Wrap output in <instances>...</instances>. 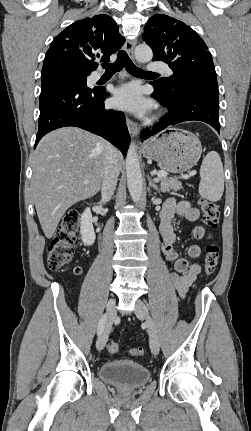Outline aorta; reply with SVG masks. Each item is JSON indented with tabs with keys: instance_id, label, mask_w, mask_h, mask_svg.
<instances>
[{
	"instance_id": "762f6f07",
	"label": "aorta",
	"mask_w": 251,
	"mask_h": 431,
	"mask_svg": "<svg viewBox=\"0 0 251 431\" xmlns=\"http://www.w3.org/2000/svg\"><path fill=\"white\" fill-rule=\"evenodd\" d=\"M135 57L139 62H148L152 59L153 53L149 46L138 45L135 48ZM126 176L130 196L133 202L139 203L143 192V180L137 155V146L134 142H131L126 156Z\"/></svg>"
}]
</instances>
